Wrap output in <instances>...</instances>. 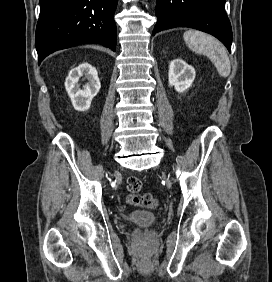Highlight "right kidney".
<instances>
[{
	"instance_id": "1",
	"label": "right kidney",
	"mask_w": 272,
	"mask_h": 282,
	"mask_svg": "<svg viewBox=\"0 0 272 282\" xmlns=\"http://www.w3.org/2000/svg\"><path fill=\"white\" fill-rule=\"evenodd\" d=\"M84 76L88 83L80 88L79 78ZM65 88L71 99L73 107L78 111H86L90 108L92 99L101 88L98 72L95 67L85 62L70 70L65 81Z\"/></svg>"
}]
</instances>
